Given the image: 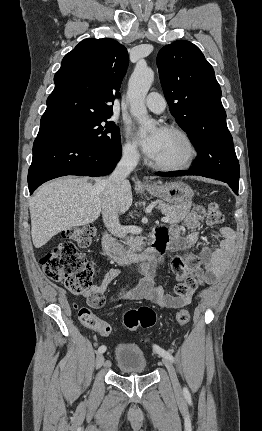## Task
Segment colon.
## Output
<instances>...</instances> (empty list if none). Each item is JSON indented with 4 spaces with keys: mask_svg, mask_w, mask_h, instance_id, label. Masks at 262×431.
<instances>
[{
    "mask_svg": "<svg viewBox=\"0 0 262 431\" xmlns=\"http://www.w3.org/2000/svg\"><path fill=\"white\" fill-rule=\"evenodd\" d=\"M223 213L216 203L207 208V221L211 225L220 224ZM95 229L90 226L75 227L63 232V240L52 250L40 258V265L45 275L52 281L62 283L73 294L79 295L88 289L96 274V266L86 256L79 253L76 245L87 247L91 244ZM198 280L189 276L175 286V293L179 297H187L196 290ZM79 318L83 325L97 330L103 336H109L112 327L97 319L89 310L82 308ZM190 320V313L183 307L176 314L179 326H185ZM156 323L154 310L146 305L128 309L123 315V325L129 331L139 327H152Z\"/></svg>",
    "mask_w": 262,
    "mask_h": 431,
    "instance_id": "colon-1",
    "label": "colon"
}]
</instances>
